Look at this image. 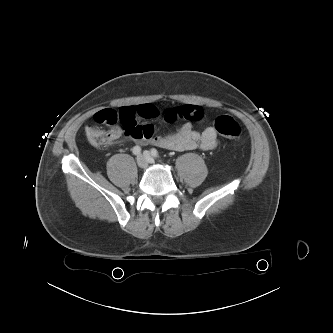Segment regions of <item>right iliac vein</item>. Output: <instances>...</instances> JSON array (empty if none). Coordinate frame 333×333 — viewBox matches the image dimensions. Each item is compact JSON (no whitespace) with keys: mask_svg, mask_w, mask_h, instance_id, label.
<instances>
[{"mask_svg":"<svg viewBox=\"0 0 333 333\" xmlns=\"http://www.w3.org/2000/svg\"><path fill=\"white\" fill-rule=\"evenodd\" d=\"M136 160H137V165L140 168H145L147 166V158L145 155H138Z\"/></svg>","mask_w":333,"mask_h":333,"instance_id":"1","label":"right iliac vein"}]
</instances>
